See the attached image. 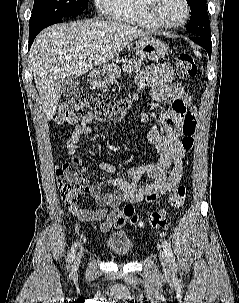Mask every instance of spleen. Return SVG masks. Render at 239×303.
I'll list each match as a JSON object with an SVG mask.
<instances>
[{"mask_svg": "<svg viewBox=\"0 0 239 303\" xmlns=\"http://www.w3.org/2000/svg\"><path fill=\"white\" fill-rule=\"evenodd\" d=\"M196 55H197V56H200V54H199L198 52L196 53Z\"/></svg>", "mask_w": 239, "mask_h": 303, "instance_id": "3e777b00", "label": "spleen"}]
</instances>
